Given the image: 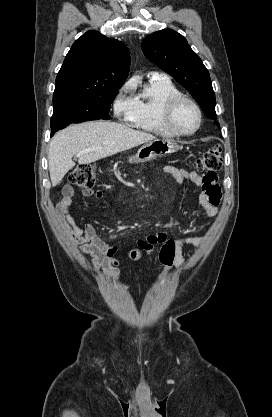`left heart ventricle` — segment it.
<instances>
[{
    "label": "left heart ventricle",
    "mask_w": 272,
    "mask_h": 417,
    "mask_svg": "<svg viewBox=\"0 0 272 417\" xmlns=\"http://www.w3.org/2000/svg\"><path fill=\"white\" fill-rule=\"evenodd\" d=\"M198 122L197 112L189 103H181L174 114L175 127L183 132L192 131Z\"/></svg>",
    "instance_id": "1"
}]
</instances>
